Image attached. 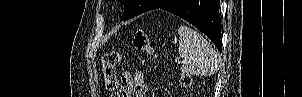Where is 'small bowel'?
<instances>
[{
	"label": "small bowel",
	"instance_id": "obj_1",
	"mask_svg": "<svg viewBox=\"0 0 302 97\" xmlns=\"http://www.w3.org/2000/svg\"><path fill=\"white\" fill-rule=\"evenodd\" d=\"M147 91L142 72H124L121 77L120 91L115 97H147Z\"/></svg>",
	"mask_w": 302,
	"mask_h": 97
}]
</instances>
